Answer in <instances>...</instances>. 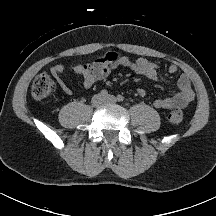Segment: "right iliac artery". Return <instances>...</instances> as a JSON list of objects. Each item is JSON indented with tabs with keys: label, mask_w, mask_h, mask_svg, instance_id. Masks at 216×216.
I'll return each instance as SVG.
<instances>
[{
	"label": "right iliac artery",
	"mask_w": 216,
	"mask_h": 216,
	"mask_svg": "<svg viewBox=\"0 0 216 216\" xmlns=\"http://www.w3.org/2000/svg\"><path fill=\"white\" fill-rule=\"evenodd\" d=\"M100 95H102L103 97H106V96H108V91L103 89V90H101Z\"/></svg>",
	"instance_id": "obj_1"
}]
</instances>
